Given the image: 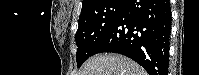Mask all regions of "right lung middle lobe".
Segmentation results:
<instances>
[{"label":"right lung middle lobe","mask_w":199,"mask_h":75,"mask_svg":"<svg viewBox=\"0 0 199 75\" xmlns=\"http://www.w3.org/2000/svg\"><path fill=\"white\" fill-rule=\"evenodd\" d=\"M127 0H104L81 10L79 27L75 35L77 66L93 55L96 46L115 24Z\"/></svg>","instance_id":"dd1d6c3e"}]
</instances>
